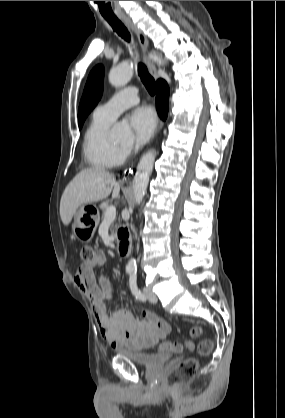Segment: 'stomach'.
Returning a JSON list of instances; mask_svg holds the SVG:
<instances>
[{"label":"stomach","instance_id":"stomach-1","mask_svg":"<svg viewBox=\"0 0 285 418\" xmlns=\"http://www.w3.org/2000/svg\"><path fill=\"white\" fill-rule=\"evenodd\" d=\"M99 220V212L95 206L82 207L74 217L72 229L75 237L80 241H89L99 224Z\"/></svg>","mask_w":285,"mask_h":418}]
</instances>
